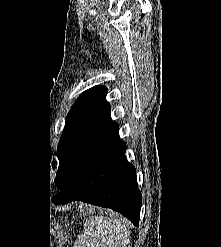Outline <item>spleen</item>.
<instances>
[{
	"instance_id": "1",
	"label": "spleen",
	"mask_w": 221,
	"mask_h": 247,
	"mask_svg": "<svg viewBox=\"0 0 221 247\" xmlns=\"http://www.w3.org/2000/svg\"><path fill=\"white\" fill-rule=\"evenodd\" d=\"M130 231L123 218L93 216L85 225L79 247H130Z\"/></svg>"
}]
</instances>
